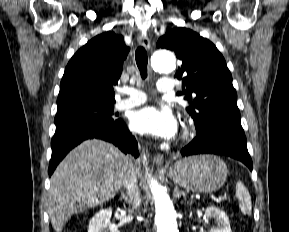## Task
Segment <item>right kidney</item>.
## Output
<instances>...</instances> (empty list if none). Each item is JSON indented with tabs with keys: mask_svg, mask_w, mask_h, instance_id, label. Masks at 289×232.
Segmentation results:
<instances>
[{
	"mask_svg": "<svg viewBox=\"0 0 289 232\" xmlns=\"http://www.w3.org/2000/svg\"><path fill=\"white\" fill-rule=\"evenodd\" d=\"M111 216V208L98 211L89 222L88 232H119L118 228L110 222Z\"/></svg>",
	"mask_w": 289,
	"mask_h": 232,
	"instance_id": "ca27d5eb",
	"label": "right kidney"
}]
</instances>
